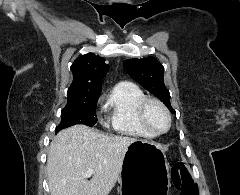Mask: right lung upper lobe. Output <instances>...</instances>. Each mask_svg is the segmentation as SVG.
I'll return each instance as SVG.
<instances>
[{
	"label": "right lung upper lobe",
	"instance_id": "1",
	"mask_svg": "<svg viewBox=\"0 0 240 195\" xmlns=\"http://www.w3.org/2000/svg\"><path fill=\"white\" fill-rule=\"evenodd\" d=\"M71 71L74 78L67 92L68 99L100 96L102 80L108 71L101 57L85 54L74 61Z\"/></svg>",
	"mask_w": 240,
	"mask_h": 195
}]
</instances>
